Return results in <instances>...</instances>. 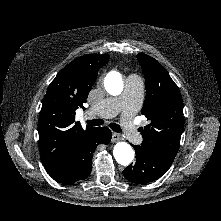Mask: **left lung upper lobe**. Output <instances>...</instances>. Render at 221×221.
Wrapping results in <instances>:
<instances>
[{"label": "left lung upper lobe", "instance_id": "obj_1", "mask_svg": "<svg viewBox=\"0 0 221 221\" xmlns=\"http://www.w3.org/2000/svg\"><path fill=\"white\" fill-rule=\"evenodd\" d=\"M145 75L146 98L142 114L150 124L141 128L142 147L149 151L179 149L184 126L183 100L180 91L166 69L146 54L137 55Z\"/></svg>", "mask_w": 221, "mask_h": 221}]
</instances>
